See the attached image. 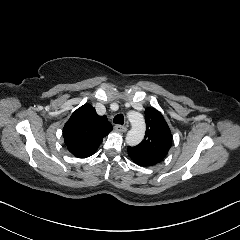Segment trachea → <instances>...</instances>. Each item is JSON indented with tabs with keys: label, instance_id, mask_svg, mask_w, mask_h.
Returning <instances> with one entry per match:
<instances>
[{
	"label": "trachea",
	"instance_id": "3493384b",
	"mask_svg": "<svg viewBox=\"0 0 240 240\" xmlns=\"http://www.w3.org/2000/svg\"><path fill=\"white\" fill-rule=\"evenodd\" d=\"M113 123L123 124L124 123V116L122 114H117L113 119Z\"/></svg>",
	"mask_w": 240,
	"mask_h": 240
}]
</instances>
